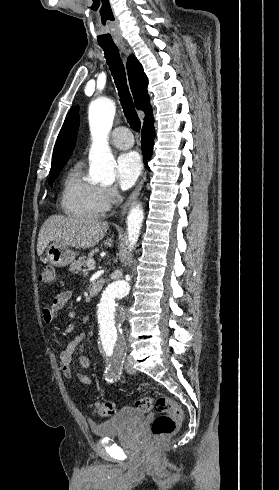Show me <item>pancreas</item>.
<instances>
[{"instance_id":"obj_1","label":"pancreas","mask_w":279,"mask_h":490,"mask_svg":"<svg viewBox=\"0 0 279 490\" xmlns=\"http://www.w3.org/2000/svg\"><path fill=\"white\" fill-rule=\"evenodd\" d=\"M83 266H85L83 260H76V262H72V264H70L69 270L72 272V274H79Z\"/></svg>"}]
</instances>
